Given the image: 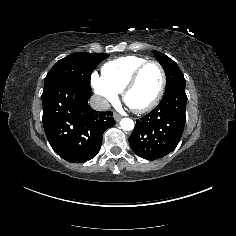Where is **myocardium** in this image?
<instances>
[{
    "label": "myocardium",
    "instance_id": "1",
    "mask_svg": "<svg viewBox=\"0 0 236 236\" xmlns=\"http://www.w3.org/2000/svg\"><path fill=\"white\" fill-rule=\"evenodd\" d=\"M148 65H156L160 70L161 82H160L158 92H157L155 98L149 104H147L143 107H139V108L132 107L127 102V95L130 92V90L134 87V85L136 84L141 72ZM166 84H167V75H166V71H165L164 67L162 66V64L156 60H147V61L141 63L139 66H137L136 69L131 74L130 78L128 79V81L122 91L123 101L132 111H134L136 113H146L148 111H151L153 108H155L160 103V101L163 97L165 88H166Z\"/></svg>",
    "mask_w": 236,
    "mask_h": 236
}]
</instances>
